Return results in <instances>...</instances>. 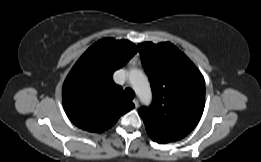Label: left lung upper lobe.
<instances>
[{"mask_svg": "<svg viewBox=\"0 0 261 162\" xmlns=\"http://www.w3.org/2000/svg\"><path fill=\"white\" fill-rule=\"evenodd\" d=\"M153 101L139 115L153 141L166 144L187 136L205 105V81L192 61L169 42L138 45Z\"/></svg>", "mask_w": 261, "mask_h": 162, "instance_id": "5c2ea615", "label": "left lung upper lobe"}]
</instances>
